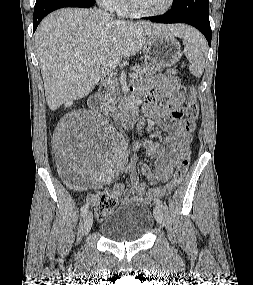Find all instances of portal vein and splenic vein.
Here are the masks:
<instances>
[{
	"instance_id": "obj_1",
	"label": "portal vein and splenic vein",
	"mask_w": 253,
	"mask_h": 285,
	"mask_svg": "<svg viewBox=\"0 0 253 285\" xmlns=\"http://www.w3.org/2000/svg\"><path fill=\"white\" fill-rule=\"evenodd\" d=\"M108 74H109V71H108ZM110 75L112 76L113 73H110ZM129 77L132 79H136V78H138V74L136 72H132L129 74Z\"/></svg>"
}]
</instances>
